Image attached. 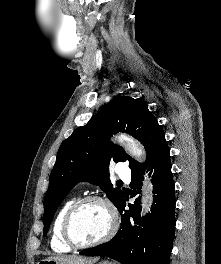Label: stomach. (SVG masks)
<instances>
[{
    "label": "stomach",
    "mask_w": 221,
    "mask_h": 264,
    "mask_svg": "<svg viewBox=\"0 0 221 264\" xmlns=\"http://www.w3.org/2000/svg\"><path fill=\"white\" fill-rule=\"evenodd\" d=\"M37 264H65V263H61L60 261L54 260V259H42L40 260ZM99 264H113L109 261H102Z\"/></svg>",
    "instance_id": "1"
}]
</instances>
